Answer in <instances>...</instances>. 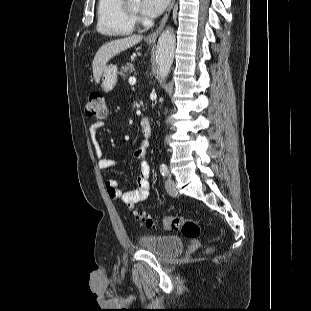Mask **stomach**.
Wrapping results in <instances>:
<instances>
[{
	"mask_svg": "<svg viewBox=\"0 0 311 311\" xmlns=\"http://www.w3.org/2000/svg\"><path fill=\"white\" fill-rule=\"evenodd\" d=\"M150 45L151 43L148 42ZM117 66L116 65H108L102 72L101 75V87L104 91H111L116 83H117Z\"/></svg>",
	"mask_w": 311,
	"mask_h": 311,
	"instance_id": "stomach-1",
	"label": "stomach"
}]
</instances>
